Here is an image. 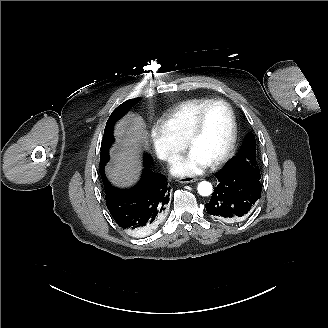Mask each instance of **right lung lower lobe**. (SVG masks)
<instances>
[{
  "label": "right lung lower lobe",
  "mask_w": 328,
  "mask_h": 328,
  "mask_svg": "<svg viewBox=\"0 0 328 328\" xmlns=\"http://www.w3.org/2000/svg\"><path fill=\"white\" fill-rule=\"evenodd\" d=\"M149 164L147 160L139 183L130 190L117 189L107 179L103 183L106 205L115 222L138 234L162 217L170 196L165 175L150 170Z\"/></svg>",
  "instance_id": "obj_1"
}]
</instances>
